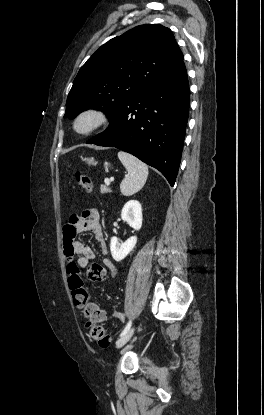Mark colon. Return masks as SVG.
Listing matches in <instances>:
<instances>
[{"instance_id":"5ec220e1","label":"colon","mask_w":264,"mask_h":415,"mask_svg":"<svg viewBox=\"0 0 264 415\" xmlns=\"http://www.w3.org/2000/svg\"><path fill=\"white\" fill-rule=\"evenodd\" d=\"M74 178L77 186L81 190L86 193L92 192V182L87 175L76 171L74 173ZM104 275V268L95 263L90 264L86 268L84 276L81 275L80 269L74 263H71L67 269V282L68 287L71 290L73 300L76 306L83 309V313L86 318V325L90 329L92 338L100 347H107L110 343V337L100 325L104 317L103 313L94 303L90 301L89 293L84 287V280L99 282L103 280Z\"/></svg>"}]
</instances>
